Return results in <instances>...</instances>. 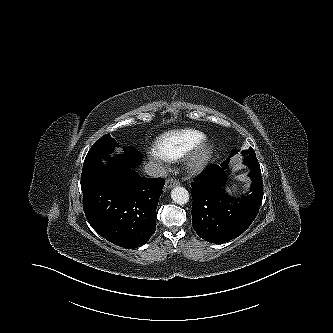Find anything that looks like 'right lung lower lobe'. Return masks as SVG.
<instances>
[{
	"label": "right lung lower lobe",
	"instance_id": "obj_1",
	"mask_svg": "<svg viewBox=\"0 0 333 333\" xmlns=\"http://www.w3.org/2000/svg\"><path fill=\"white\" fill-rule=\"evenodd\" d=\"M162 178H142L132 167L107 169L81 179L83 209L103 238L128 249L145 244L156 229Z\"/></svg>",
	"mask_w": 333,
	"mask_h": 333
}]
</instances>
